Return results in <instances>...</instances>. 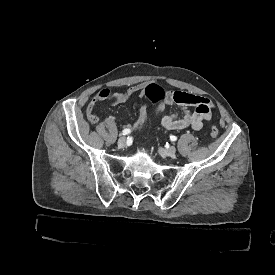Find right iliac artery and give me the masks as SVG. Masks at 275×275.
<instances>
[{
    "label": "right iliac artery",
    "mask_w": 275,
    "mask_h": 275,
    "mask_svg": "<svg viewBox=\"0 0 275 275\" xmlns=\"http://www.w3.org/2000/svg\"><path fill=\"white\" fill-rule=\"evenodd\" d=\"M130 132H131L130 129H124V130L122 131V134H123V135H128Z\"/></svg>",
    "instance_id": "1"
}]
</instances>
